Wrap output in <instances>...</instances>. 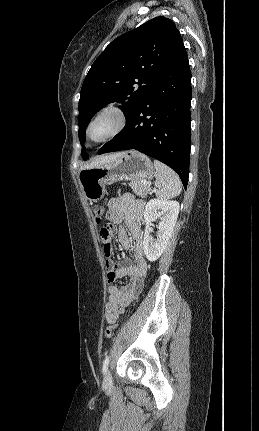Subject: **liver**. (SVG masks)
<instances>
[{
    "instance_id": "1",
    "label": "liver",
    "mask_w": 259,
    "mask_h": 431,
    "mask_svg": "<svg viewBox=\"0 0 259 431\" xmlns=\"http://www.w3.org/2000/svg\"><path fill=\"white\" fill-rule=\"evenodd\" d=\"M121 154L122 153H115V154L101 155V156L95 157L89 163H86L83 166H81L80 170L86 169V168H93L95 166L102 165V164L107 163L109 161H113L116 158H118Z\"/></svg>"
}]
</instances>
